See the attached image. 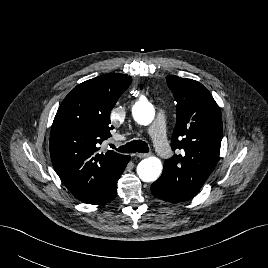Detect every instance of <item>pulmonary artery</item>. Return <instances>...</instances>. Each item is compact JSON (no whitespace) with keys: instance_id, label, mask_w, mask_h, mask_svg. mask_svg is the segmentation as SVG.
Instances as JSON below:
<instances>
[{"instance_id":"e3ab8cb5","label":"pulmonary artery","mask_w":268,"mask_h":268,"mask_svg":"<svg viewBox=\"0 0 268 268\" xmlns=\"http://www.w3.org/2000/svg\"><path fill=\"white\" fill-rule=\"evenodd\" d=\"M165 126V113L161 109L158 112L157 123L153 127L146 129V134L153 140L159 156L163 159H170L172 152L167 143Z\"/></svg>"}]
</instances>
